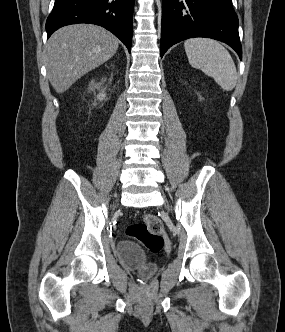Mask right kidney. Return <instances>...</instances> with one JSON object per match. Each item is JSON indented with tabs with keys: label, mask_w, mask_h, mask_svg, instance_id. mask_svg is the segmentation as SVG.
Returning <instances> with one entry per match:
<instances>
[{
	"label": "right kidney",
	"mask_w": 285,
	"mask_h": 332,
	"mask_svg": "<svg viewBox=\"0 0 285 332\" xmlns=\"http://www.w3.org/2000/svg\"><path fill=\"white\" fill-rule=\"evenodd\" d=\"M97 97L99 100H103V99H105L106 96H105V94L100 93Z\"/></svg>",
	"instance_id": "ca27d5eb"
}]
</instances>
